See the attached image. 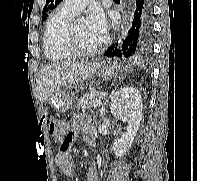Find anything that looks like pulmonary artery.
I'll list each match as a JSON object with an SVG mask.
<instances>
[{
	"label": "pulmonary artery",
	"mask_w": 197,
	"mask_h": 181,
	"mask_svg": "<svg viewBox=\"0 0 197 181\" xmlns=\"http://www.w3.org/2000/svg\"><path fill=\"white\" fill-rule=\"evenodd\" d=\"M91 0H65L63 6L75 13L80 12Z\"/></svg>",
	"instance_id": "e3ab8cb5"
}]
</instances>
